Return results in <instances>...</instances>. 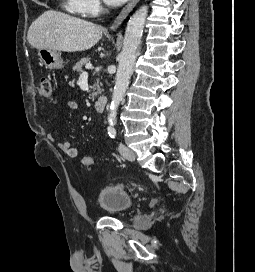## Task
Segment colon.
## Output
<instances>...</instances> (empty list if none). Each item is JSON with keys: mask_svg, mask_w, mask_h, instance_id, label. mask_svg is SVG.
I'll use <instances>...</instances> for the list:
<instances>
[{"mask_svg": "<svg viewBox=\"0 0 255 272\" xmlns=\"http://www.w3.org/2000/svg\"><path fill=\"white\" fill-rule=\"evenodd\" d=\"M39 95L47 100L53 99V88L52 83L49 78H42L39 86ZM82 164L90 168L93 165V158L89 155H86L82 159Z\"/></svg>", "mask_w": 255, "mask_h": 272, "instance_id": "colon-1", "label": "colon"}]
</instances>
